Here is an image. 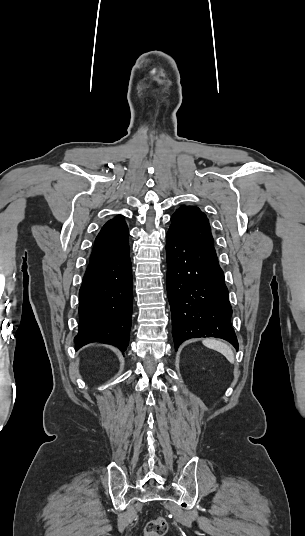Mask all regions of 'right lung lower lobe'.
<instances>
[{
	"label": "right lung lower lobe",
	"mask_w": 305,
	"mask_h": 536,
	"mask_svg": "<svg viewBox=\"0 0 305 536\" xmlns=\"http://www.w3.org/2000/svg\"><path fill=\"white\" fill-rule=\"evenodd\" d=\"M129 249L90 258L79 291L76 349L90 342L127 349L133 300Z\"/></svg>",
	"instance_id": "1"
}]
</instances>
